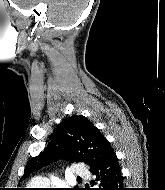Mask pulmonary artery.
Instances as JSON below:
<instances>
[{
    "instance_id": "e3ab8cb5",
    "label": "pulmonary artery",
    "mask_w": 165,
    "mask_h": 190,
    "mask_svg": "<svg viewBox=\"0 0 165 190\" xmlns=\"http://www.w3.org/2000/svg\"><path fill=\"white\" fill-rule=\"evenodd\" d=\"M72 175L80 178H87L89 177V171L83 167L82 165H75L72 168ZM43 183H46V181H43Z\"/></svg>"
}]
</instances>
